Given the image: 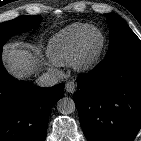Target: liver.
<instances>
[{
    "label": "liver",
    "mask_w": 141,
    "mask_h": 141,
    "mask_svg": "<svg viewBox=\"0 0 141 141\" xmlns=\"http://www.w3.org/2000/svg\"><path fill=\"white\" fill-rule=\"evenodd\" d=\"M34 49L28 46L9 45L4 53L7 70L17 79L28 78L36 70Z\"/></svg>",
    "instance_id": "1"
}]
</instances>
